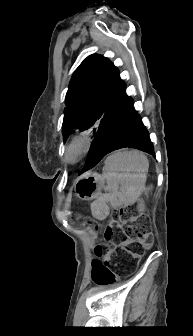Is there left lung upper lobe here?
<instances>
[{"mask_svg": "<svg viewBox=\"0 0 193 336\" xmlns=\"http://www.w3.org/2000/svg\"><path fill=\"white\" fill-rule=\"evenodd\" d=\"M124 86L118 69L107 58L87 57L73 74L66 95L64 140L77 129L93 128L95 132Z\"/></svg>", "mask_w": 193, "mask_h": 336, "instance_id": "obj_1", "label": "left lung upper lobe"}]
</instances>
